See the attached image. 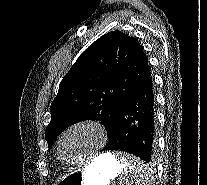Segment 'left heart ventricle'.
<instances>
[{
	"mask_svg": "<svg viewBox=\"0 0 207 185\" xmlns=\"http://www.w3.org/2000/svg\"><path fill=\"white\" fill-rule=\"evenodd\" d=\"M102 141L92 128L79 127L64 138L62 153L68 160H75L98 149Z\"/></svg>",
	"mask_w": 207,
	"mask_h": 185,
	"instance_id": "1",
	"label": "left heart ventricle"
}]
</instances>
